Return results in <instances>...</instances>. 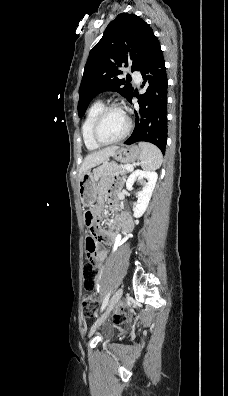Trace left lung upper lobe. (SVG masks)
Listing matches in <instances>:
<instances>
[{
  "label": "left lung upper lobe",
  "mask_w": 228,
  "mask_h": 396,
  "mask_svg": "<svg viewBox=\"0 0 228 396\" xmlns=\"http://www.w3.org/2000/svg\"><path fill=\"white\" fill-rule=\"evenodd\" d=\"M156 38L149 24L135 14H119L109 23L85 65L79 88V117L102 91H117L130 99L133 87L117 77L122 74L120 67L131 65L132 71H140Z\"/></svg>",
  "instance_id": "1"
}]
</instances>
